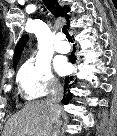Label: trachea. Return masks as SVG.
<instances>
[{"label":"trachea","mask_w":117,"mask_h":136,"mask_svg":"<svg viewBox=\"0 0 117 136\" xmlns=\"http://www.w3.org/2000/svg\"><path fill=\"white\" fill-rule=\"evenodd\" d=\"M62 31L63 33L66 35V38L69 40V41H72V37L70 36L69 32H68V28L66 26H64L62 28Z\"/></svg>","instance_id":"3493384b"}]
</instances>
